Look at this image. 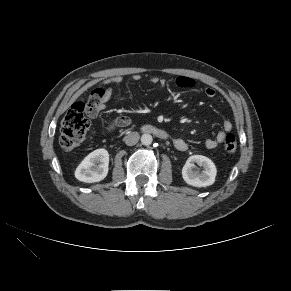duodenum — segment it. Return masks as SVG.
<instances>
[{
    "label": "duodenum",
    "mask_w": 291,
    "mask_h": 291,
    "mask_svg": "<svg viewBox=\"0 0 291 291\" xmlns=\"http://www.w3.org/2000/svg\"><path fill=\"white\" fill-rule=\"evenodd\" d=\"M143 130L147 133H153L155 134L157 137L161 138V139H167L168 135L165 131L158 129L156 127L153 126H144Z\"/></svg>",
    "instance_id": "duodenum-1"
}]
</instances>
